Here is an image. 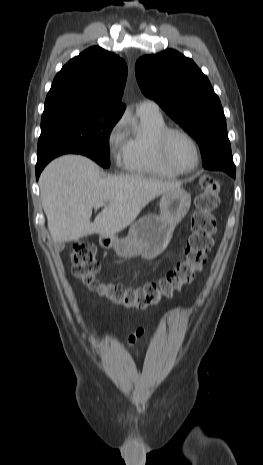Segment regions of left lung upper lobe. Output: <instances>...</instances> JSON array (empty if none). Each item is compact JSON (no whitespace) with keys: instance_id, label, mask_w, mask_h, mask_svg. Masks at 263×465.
<instances>
[{"instance_id":"obj_1","label":"left lung upper lobe","mask_w":263,"mask_h":465,"mask_svg":"<svg viewBox=\"0 0 263 465\" xmlns=\"http://www.w3.org/2000/svg\"><path fill=\"white\" fill-rule=\"evenodd\" d=\"M135 71L144 95L197 141L203 160L215 162L213 170L235 167L220 100L191 59L169 49L139 58Z\"/></svg>"}]
</instances>
